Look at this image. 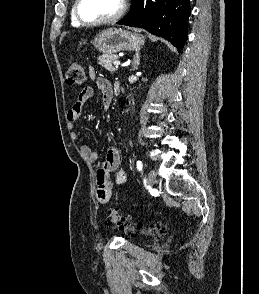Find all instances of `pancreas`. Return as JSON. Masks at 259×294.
Wrapping results in <instances>:
<instances>
[{"label": "pancreas", "instance_id": "cf45deb5", "mask_svg": "<svg viewBox=\"0 0 259 294\" xmlns=\"http://www.w3.org/2000/svg\"><path fill=\"white\" fill-rule=\"evenodd\" d=\"M118 60L117 55H101L98 57V64L110 72H115L116 68L113 63Z\"/></svg>", "mask_w": 259, "mask_h": 294}]
</instances>
